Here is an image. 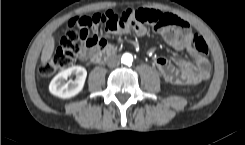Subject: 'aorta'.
Returning a JSON list of instances; mask_svg holds the SVG:
<instances>
[{"label":"aorta","mask_w":245,"mask_h":145,"mask_svg":"<svg viewBox=\"0 0 245 145\" xmlns=\"http://www.w3.org/2000/svg\"><path fill=\"white\" fill-rule=\"evenodd\" d=\"M121 62L125 65H131L133 62V56L130 53H124L121 57Z\"/></svg>","instance_id":"762f6f07"}]
</instances>
